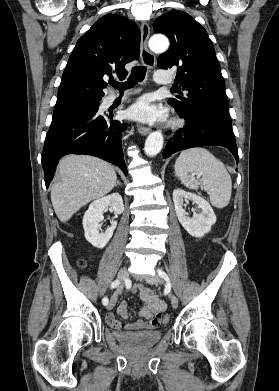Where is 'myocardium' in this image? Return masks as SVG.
<instances>
[{"label": "myocardium", "mask_w": 279, "mask_h": 391, "mask_svg": "<svg viewBox=\"0 0 279 391\" xmlns=\"http://www.w3.org/2000/svg\"><path fill=\"white\" fill-rule=\"evenodd\" d=\"M181 123L179 122V121H173L172 122V126L173 127H177V126H179Z\"/></svg>", "instance_id": "1"}]
</instances>
